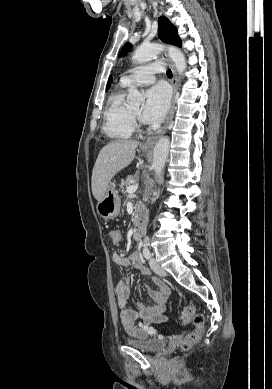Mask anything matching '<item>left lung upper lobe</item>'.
Instances as JSON below:
<instances>
[{"instance_id": "5c2ea615", "label": "left lung upper lobe", "mask_w": 272, "mask_h": 389, "mask_svg": "<svg viewBox=\"0 0 272 389\" xmlns=\"http://www.w3.org/2000/svg\"><path fill=\"white\" fill-rule=\"evenodd\" d=\"M158 36L165 43L179 47L181 46V40L177 35V29L171 24L169 19L164 16H161L158 19ZM131 46L130 43H126L119 56H123L124 52L129 51Z\"/></svg>"}]
</instances>
